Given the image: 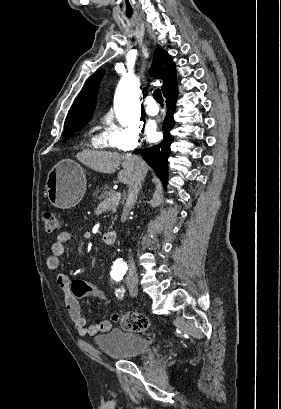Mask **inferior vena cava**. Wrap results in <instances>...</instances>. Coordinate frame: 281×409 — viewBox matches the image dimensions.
<instances>
[{"mask_svg": "<svg viewBox=\"0 0 281 409\" xmlns=\"http://www.w3.org/2000/svg\"><path fill=\"white\" fill-rule=\"evenodd\" d=\"M132 162L134 164V174L131 178V182H129L128 194L131 198H136L141 186L142 180H144V176L146 172H144L145 162L142 158H132ZM127 219V215L122 217V223H125ZM138 275L136 271V267L130 257L129 261V273L127 275V283H137Z\"/></svg>", "mask_w": 281, "mask_h": 409, "instance_id": "602c4592", "label": "inferior vena cava"}]
</instances>
